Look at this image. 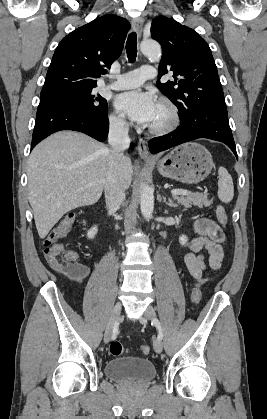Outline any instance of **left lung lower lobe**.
<instances>
[{"instance_id": "left-lung-lower-lobe-1", "label": "left lung lower lobe", "mask_w": 267, "mask_h": 419, "mask_svg": "<svg viewBox=\"0 0 267 419\" xmlns=\"http://www.w3.org/2000/svg\"><path fill=\"white\" fill-rule=\"evenodd\" d=\"M198 138H208L226 144L237 156L228 122L227 109L198 110L180 121L179 128L167 135L155 137L148 143L150 152L156 154Z\"/></svg>"}]
</instances>
